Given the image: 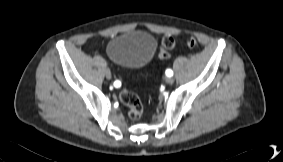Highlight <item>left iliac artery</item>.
Masks as SVG:
<instances>
[{"label": "left iliac artery", "mask_w": 283, "mask_h": 162, "mask_svg": "<svg viewBox=\"0 0 283 162\" xmlns=\"http://www.w3.org/2000/svg\"><path fill=\"white\" fill-rule=\"evenodd\" d=\"M166 75H167L168 77H171V76L173 75V71H172L171 69H167V70H166Z\"/></svg>", "instance_id": "1"}]
</instances>
